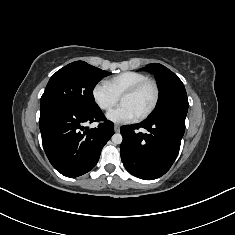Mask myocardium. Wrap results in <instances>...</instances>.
Listing matches in <instances>:
<instances>
[{"mask_svg": "<svg viewBox=\"0 0 235 235\" xmlns=\"http://www.w3.org/2000/svg\"><path fill=\"white\" fill-rule=\"evenodd\" d=\"M146 86L152 87L153 100H152V103L150 104V106L141 115H139V119L147 118L157 107V104L159 102V97H160V90H159L158 84L154 80L148 78V79L143 80V81L135 84L134 86L128 88L120 96V100H121L125 96L135 95Z\"/></svg>", "mask_w": 235, "mask_h": 235, "instance_id": "1", "label": "myocardium"}]
</instances>
